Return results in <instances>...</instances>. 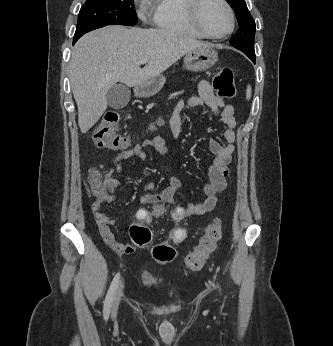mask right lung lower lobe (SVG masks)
<instances>
[{"mask_svg":"<svg viewBox=\"0 0 333 346\" xmlns=\"http://www.w3.org/2000/svg\"><path fill=\"white\" fill-rule=\"evenodd\" d=\"M78 40V39H77ZM76 39L73 40V43H75L77 41Z\"/></svg>","mask_w":333,"mask_h":346,"instance_id":"right-lung-lower-lobe-1","label":"right lung lower lobe"}]
</instances>
